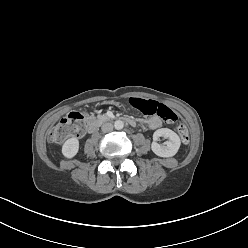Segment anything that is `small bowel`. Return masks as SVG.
Segmentation results:
<instances>
[{
	"instance_id": "c3829d8e",
	"label": "small bowel",
	"mask_w": 248,
	"mask_h": 248,
	"mask_svg": "<svg viewBox=\"0 0 248 248\" xmlns=\"http://www.w3.org/2000/svg\"><path fill=\"white\" fill-rule=\"evenodd\" d=\"M144 123L152 130L157 129L161 125V120L157 116H150L144 119Z\"/></svg>"
}]
</instances>
